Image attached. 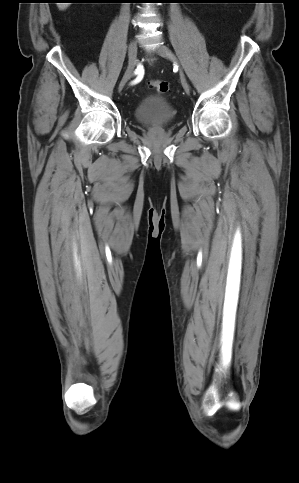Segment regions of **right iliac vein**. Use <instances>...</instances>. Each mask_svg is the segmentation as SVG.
Instances as JSON below:
<instances>
[{
    "mask_svg": "<svg viewBox=\"0 0 299 483\" xmlns=\"http://www.w3.org/2000/svg\"><path fill=\"white\" fill-rule=\"evenodd\" d=\"M128 56H129V63L127 70L125 71L123 78L119 84V90L121 91L125 84L130 79L132 72L136 65V58H137V45L135 41H131L128 46Z\"/></svg>",
    "mask_w": 299,
    "mask_h": 483,
    "instance_id": "right-iliac-vein-1",
    "label": "right iliac vein"
}]
</instances>
